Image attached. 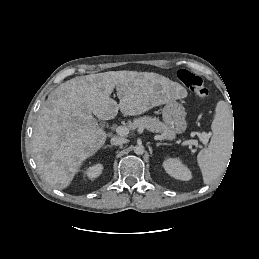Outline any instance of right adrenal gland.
Wrapping results in <instances>:
<instances>
[{"label": "right adrenal gland", "mask_w": 259, "mask_h": 259, "mask_svg": "<svg viewBox=\"0 0 259 259\" xmlns=\"http://www.w3.org/2000/svg\"><path fill=\"white\" fill-rule=\"evenodd\" d=\"M107 147L111 148L112 146H111V145H107V146H105V148H107Z\"/></svg>", "instance_id": "obj_1"}]
</instances>
